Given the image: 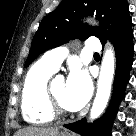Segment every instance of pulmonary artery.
Returning a JSON list of instances; mask_svg holds the SVG:
<instances>
[{"label":"pulmonary artery","instance_id":"pulmonary-artery-1","mask_svg":"<svg viewBox=\"0 0 136 136\" xmlns=\"http://www.w3.org/2000/svg\"><path fill=\"white\" fill-rule=\"evenodd\" d=\"M85 47L93 52L101 51V44L95 37L87 39L85 42ZM67 54L68 51L65 47H58L46 52L41 58V61L50 69L56 71L60 67Z\"/></svg>","mask_w":136,"mask_h":136}]
</instances>
